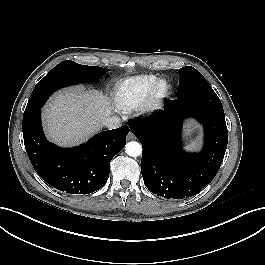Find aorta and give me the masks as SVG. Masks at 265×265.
<instances>
[{
  "mask_svg": "<svg viewBox=\"0 0 265 265\" xmlns=\"http://www.w3.org/2000/svg\"><path fill=\"white\" fill-rule=\"evenodd\" d=\"M125 152L131 157H138L142 153V146L136 141L128 142L125 146Z\"/></svg>",
  "mask_w": 265,
  "mask_h": 265,
  "instance_id": "obj_1",
  "label": "aorta"
}]
</instances>
